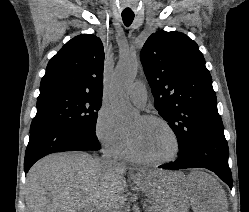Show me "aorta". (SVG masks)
Segmentation results:
<instances>
[{"instance_id":"obj_1","label":"aorta","mask_w":249,"mask_h":212,"mask_svg":"<svg viewBox=\"0 0 249 212\" xmlns=\"http://www.w3.org/2000/svg\"><path fill=\"white\" fill-rule=\"evenodd\" d=\"M137 70V61L130 59L120 61L111 80L109 101L117 119L122 122L134 118L137 114L128 98V90L136 78Z\"/></svg>"}]
</instances>
